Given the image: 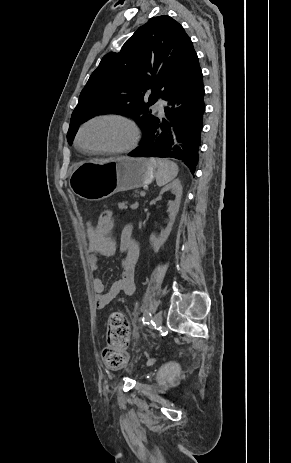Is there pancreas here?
<instances>
[{
  "label": "pancreas",
  "mask_w": 291,
  "mask_h": 463,
  "mask_svg": "<svg viewBox=\"0 0 291 463\" xmlns=\"http://www.w3.org/2000/svg\"><path fill=\"white\" fill-rule=\"evenodd\" d=\"M138 196H139L138 191H134V192L132 193V197H133V198H137Z\"/></svg>",
  "instance_id": "pancreas-1"
}]
</instances>
